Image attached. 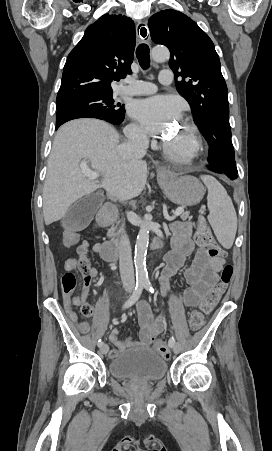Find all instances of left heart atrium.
Instances as JSON below:
<instances>
[{"label":"left heart atrium","mask_w":272,"mask_h":451,"mask_svg":"<svg viewBox=\"0 0 272 451\" xmlns=\"http://www.w3.org/2000/svg\"><path fill=\"white\" fill-rule=\"evenodd\" d=\"M179 105L168 96H158L138 104L136 115L151 134H164L179 118Z\"/></svg>","instance_id":"left-heart-atrium-1"}]
</instances>
